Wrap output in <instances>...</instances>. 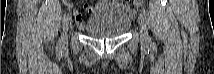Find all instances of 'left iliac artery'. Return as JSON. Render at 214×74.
<instances>
[{
    "instance_id": "1",
    "label": "left iliac artery",
    "mask_w": 214,
    "mask_h": 74,
    "mask_svg": "<svg viewBox=\"0 0 214 74\" xmlns=\"http://www.w3.org/2000/svg\"><path fill=\"white\" fill-rule=\"evenodd\" d=\"M140 14H143V16L146 18V16H147V12H146V10L144 9V8H142L141 10H140ZM153 45H154V43H153Z\"/></svg>"
}]
</instances>
